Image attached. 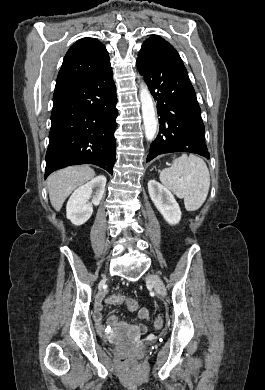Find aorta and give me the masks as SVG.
Instances as JSON below:
<instances>
[{"mask_svg": "<svg viewBox=\"0 0 265 390\" xmlns=\"http://www.w3.org/2000/svg\"><path fill=\"white\" fill-rule=\"evenodd\" d=\"M140 100L142 105L141 109L145 128V136L147 140L151 141L155 137L158 120L156 119L155 107L151 94L143 82L140 86Z\"/></svg>", "mask_w": 265, "mask_h": 390, "instance_id": "1", "label": "aorta"}]
</instances>
